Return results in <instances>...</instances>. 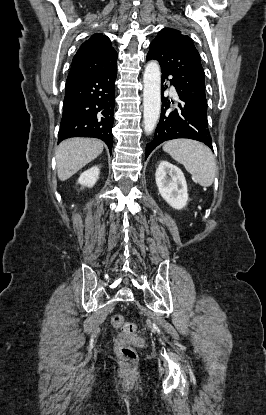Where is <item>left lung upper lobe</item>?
<instances>
[{"label":"left lung upper lobe","instance_id":"obj_1","mask_svg":"<svg viewBox=\"0 0 266 415\" xmlns=\"http://www.w3.org/2000/svg\"><path fill=\"white\" fill-rule=\"evenodd\" d=\"M159 62L162 72L207 114L205 75L201 58L190 37L172 28L162 29L151 42L148 54Z\"/></svg>","mask_w":266,"mask_h":415}]
</instances>
